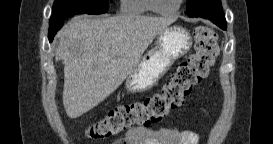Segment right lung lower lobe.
I'll use <instances>...</instances> for the list:
<instances>
[{
  "mask_svg": "<svg viewBox=\"0 0 273 144\" xmlns=\"http://www.w3.org/2000/svg\"><path fill=\"white\" fill-rule=\"evenodd\" d=\"M53 38H54V35H50L49 36V41L52 42Z\"/></svg>",
  "mask_w": 273,
  "mask_h": 144,
  "instance_id": "obj_1",
  "label": "right lung lower lobe"
}]
</instances>
